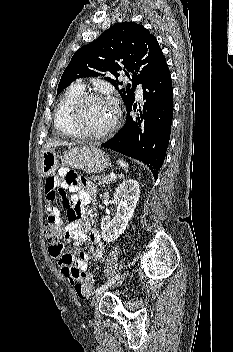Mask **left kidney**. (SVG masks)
<instances>
[{"label":"left kidney","instance_id":"left-kidney-1","mask_svg":"<svg viewBox=\"0 0 233 352\" xmlns=\"http://www.w3.org/2000/svg\"><path fill=\"white\" fill-rule=\"evenodd\" d=\"M139 192V183L133 179L123 181L116 189L114 194V199L118 202L116 215L112 220L109 216H104L101 221L102 238L105 242H113L125 231L134 214Z\"/></svg>","mask_w":233,"mask_h":352}]
</instances>
